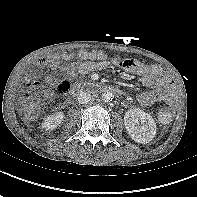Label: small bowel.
<instances>
[{
  "mask_svg": "<svg viewBox=\"0 0 197 197\" xmlns=\"http://www.w3.org/2000/svg\"><path fill=\"white\" fill-rule=\"evenodd\" d=\"M90 52H88V55ZM67 54L70 53L67 52ZM71 58L72 55L70 58H66L63 55V59L65 60H70ZM83 59L84 61L82 62L63 64L58 56H47L38 59L36 65L38 67L47 66L51 70H58L65 78H71L76 71L81 74H88L93 70H100L106 66V61L103 60H95L88 57ZM125 62H129L130 66H124ZM111 63L115 66H120L131 73L139 75L142 84L149 88V90L141 92L137 97L138 102L142 106L147 107L157 102L170 101L173 99L174 88L172 86V80L159 65H147L138 60L122 59L116 56L111 58ZM47 82L50 85H53L56 82V77H48ZM34 83L37 85H33ZM39 85V82L31 83V86L33 87H38Z\"/></svg>",
  "mask_w": 197,
  "mask_h": 197,
  "instance_id": "small-bowel-1",
  "label": "small bowel"
}]
</instances>
